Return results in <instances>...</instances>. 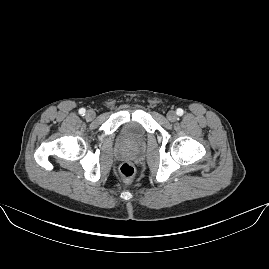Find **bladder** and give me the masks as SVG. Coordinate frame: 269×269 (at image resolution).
Instances as JSON below:
<instances>
[{
	"instance_id": "obj_1",
	"label": "bladder",
	"mask_w": 269,
	"mask_h": 269,
	"mask_svg": "<svg viewBox=\"0 0 269 269\" xmlns=\"http://www.w3.org/2000/svg\"><path fill=\"white\" fill-rule=\"evenodd\" d=\"M145 130L141 123L137 121H128L122 130V140L126 144H131L138 139H143Z\"/></svg>"
}]
</instances>
